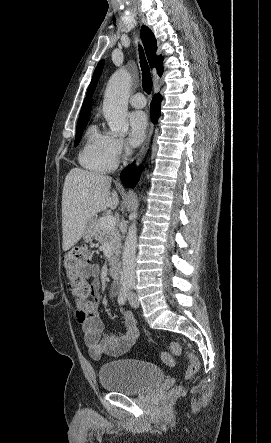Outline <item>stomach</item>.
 Returning a JSON list of instances; mask_svg holds the SVG:
<instances>
[{
    "label": "stomach",
    "instance_id": "0dacf381",
    "mask_svg": "<svg viewBox=\"0 0 271 443\" xmlns=\"http://www.w3.org/2000/svg\"><path fill=\"white\" fill-rule=\"evenodd\" d=\"M94 222L95 218H91L90 222H88L86 225L85 233L83 235V239H85V241H91V239L94 237Z\"/></svg>",
    "mask_w": 271,
    "mask_h": 443
}]
</instances>
